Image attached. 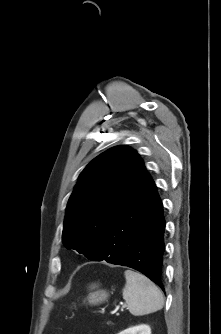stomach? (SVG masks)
Returning <instances> with one entry per match:
<instances>
[{"instance_id": "obj_1", "label": "stomach", "mask_w": 221, "mask_h": 334, "mask_svg": "<svg viewBox=\"0 0 221 334\" xmlns=\"http://www.w3.org/2000/svg\"><path fill=\"white\" fill-rule=\"evenodd\" d=\"M98 286L96 284L91 286V293L87 297V301L90 305H99L103 303L109 296L106 290L96 289ZM96 289V290H95Z\"/></svg>"}]
</instances>
